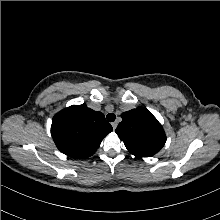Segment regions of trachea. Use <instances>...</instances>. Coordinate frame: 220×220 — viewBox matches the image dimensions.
I'll return each mask as SVG.
<instances>
[{
    "label": "trachea",
    "instance_id": "trachea-1",
    "mask_svg": "<svg viewBox=\"0 0 220 220\" xmlns=\"http://www.w3.org/2000/svg\"><path fill=\"white\" fill-rule=\"evenodd\" d=\"M106 119L109 122H113L116 119V115L114 113H109V114H107Z\"/></svg>",
    "mask_w": 220,
    "mask_h": 220
}]
</instances>
